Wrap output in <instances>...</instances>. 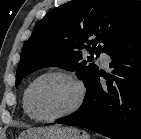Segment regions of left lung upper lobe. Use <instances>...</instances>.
<instances>
[{"instance_id": "1", "label": "left lung upper lobe", "mask_w": 141, "mask_h": 139, "mask_svg": "<svg viewBox=\"0 0 141 139\" xmlns=\"http://www.w3.org/2000/svg\"><path fill=\"white\" fill-rule=\"evenodd\" d=\"M140 24L139 0H75L63 4L35 25L24 44L16 72V86L24 76L37 69L59 66L76 71L88 87L98 67L88 63L93 61V56L83 61L82 50L88 49L91 55L96 50L98 56Z\"/></svg>"}]
</instances>
